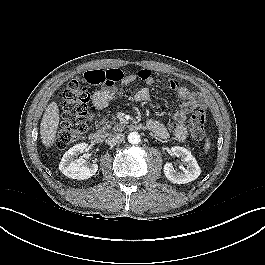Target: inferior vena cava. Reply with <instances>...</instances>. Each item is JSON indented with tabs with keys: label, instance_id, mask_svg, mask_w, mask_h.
I'll return each instance as SVG.
<instances>
[{
	"label": "inferior vena cava",
	"instance_id": "obj_1",
	"mask_svg": "<svg viewBox=\"0 0 265 265\" xmlns=\"http://www.w3.org/2000/svg\"><path fill=\"white\" fill-rule=\"evenodd\" d=\"M124 140V135L123 134H120V133H117V134H114L112 136H110L106 142L110 145H116L118 143H121L122 141Z\"/></svg>",
	"mask_w": 265,
	"mask_h": 265
}]
</instances>
